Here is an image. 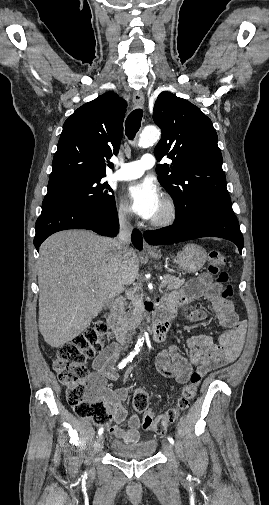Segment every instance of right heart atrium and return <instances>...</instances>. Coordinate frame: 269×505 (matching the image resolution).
<instances>
[{"instance_id": "1", "label": "right heart atrium", "mask_w": 269, "mask_h": 505, "mask_svg": "<svg viewBox=\"0 0 269 505\" xmlns=\"http://www.w3.org/2000/svg\"><path fill=\"white\" fill-rule=\"evenodd\" d=\"M118 219L121 222H129L131 219V213L128 207L124 203H119L116 209Z\"/></svg>"}]
</instances>
